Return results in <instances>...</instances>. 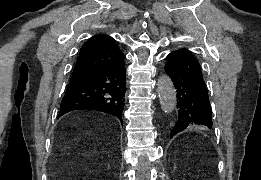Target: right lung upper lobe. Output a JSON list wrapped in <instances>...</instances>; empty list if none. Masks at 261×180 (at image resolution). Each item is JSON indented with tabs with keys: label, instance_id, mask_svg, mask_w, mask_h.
Listing matches in <instances>:
<instances>
[{
	"label": "right lung upper lobe",
	"instance_id": "obj_1",
	"mask_svg": "<svg viewBox=\"0 0 261 180\" xmlns=\"http://www.w3.org/2000/svg\"><path fill=\"white\" fill-rule=\"evenodd\" d=\"M124 58L113 38L107 35L93 36L80 49L70 83L95 68L120 64Z\"/></svg>",
	"mask_w": 261,
	"mask_h": 180
}]
</instances>
